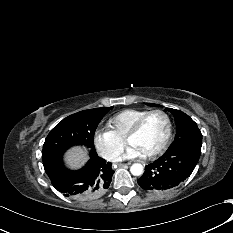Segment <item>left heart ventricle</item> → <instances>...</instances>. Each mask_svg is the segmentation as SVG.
<instances>
[{
  "instance_id": "left-heart-ventricle-1",
  "label": "left heart ventricle",
  "mask_w": 233,
  "mask_h": 233,
  "mask_svg": "<svg viewBox=\"0 0 233 233\" xmlns=\"http://www.w3.org/2000/svg\"><path fill=\"white\" fill-rule=\"evenodd\" d=\"M166 132V118L159 113L152 114L146 119L141 130L130 138L129 145L135 146L143 155H147L160 146Z\"/></svg>"
}]
</instances>
